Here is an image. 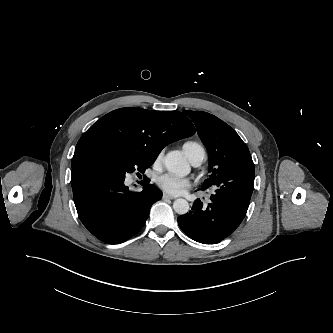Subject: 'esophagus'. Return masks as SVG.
Returning a JSON list of instances; mask_svg holds the SVG:
<instances>
[{"label":"esophagus","instance_id":"1","mask_svg":"<svg viewBox=\"0 0 333 333\" xmlns=\"http://www.w3.org/2000/svg\"><path fill=\"white\" fill-rule=\"evenodd\" d=\"M162 198H163V199H170V200L175 199V197H173V196H171V195H169V194H167V193H163Z\"/></svg>","mask_w":333,"mask_h":333}]
</instances>
